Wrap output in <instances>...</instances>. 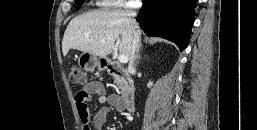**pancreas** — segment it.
Wrapping results in <instances>:
<instances>
[{
    "mask_svg": "<svg viewBox=\"0 0 257 130\" xmlns=\"http://www.w3.org/2000/svg\"><path fill=\"white\" fill-rule=\"evenodd\" d=\"M114 82H115L118 86L121 85V80H120L119 78H115V79H114Z\"/></svg>",
    "mask_w": 257,
    "mask_h": 130,
    "instance_id": "1",
    "label": "pancreas"
}]
</instances>
